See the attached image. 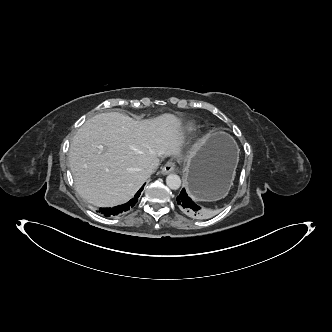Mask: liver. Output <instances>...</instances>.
I'll return each mask as SVG.
<instances>
[{
    "instance_id": "1",
    "label": "liver",
    "mask_w": 332,
    "mask_h": 332,
    "mask_svg": "<svg viewBox=\"0 0 332 332\" xmlns=\"http://www.w3.org/2000/svg\"><path fill=\"white\" fill-rule=\"evenodd\" d=\"M181 122L173 114L137 122L118 112L88 119L73 137L69 164L77 192L98 207L129 201L160 158L180 155ZM199 143L189 151L194 155Z\"/></svg>"
}]
</instances>
